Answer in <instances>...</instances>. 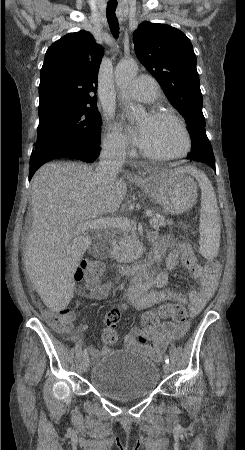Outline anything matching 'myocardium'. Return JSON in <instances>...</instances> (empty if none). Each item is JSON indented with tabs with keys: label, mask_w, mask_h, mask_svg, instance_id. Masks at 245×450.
Listing matches in <instances>:
<instances>
[{
	"label": "myocardium",
	"mask_w": 245,
	"mask_h": 450,
	"mask_svg": "<svg viewBox=\"0 0 245 450\" xmlns=\"http://www.w3.org/2000/svg\"><path fill=\"white\" fill-rule=\"evenodd\" d=\"M149 117L154 120L169 119V120L173 121L174 123H176L180 127L181 131L184 134L185 147L180 153L171 154V155H159V154L150 153L141 147L140 152L143 156L153 159L155 161H159V162H168V161L184 158L191 152L193 143H192V138H191L190 132L187 129L185 123L174 112H172L169 109L154 110L150 113Z\"/></svg>",
	"instance_id": "obj_1"
}]
</instances>
